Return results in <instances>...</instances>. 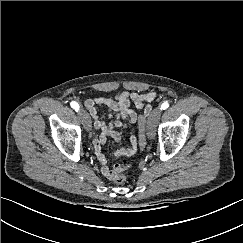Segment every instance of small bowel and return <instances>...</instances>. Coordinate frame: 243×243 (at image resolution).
<instances>
[{"label": "small bowel", "instance_id": "small-bowel-1", "mask_svg": "<svg viewBox=\"0 0 243 243\" xmlns=\"http://www.w3.org/2000/svg\"><path fill=\"white\" fill-rule=\"evenodd\" d=\"M156 98L155 92H128L121 91L114 97H96L87 99L85 101V107L90 116L94 120V127L99 133L94 137L93 146L97 159L101 163V173L110 181H114L117 175L116 166L113 169L107 166V158L104 153V144L108 137L113 138L116 141H120L122 136L119 132L115 131V128L128 127L136 123L137 113L130 108L131 104L142 111V114L148 116L151 111L150 103ZM97 105H103L107 107V117L111 119L109 123H106V117L100 115L97 111ZM139 146V135L136 137L132 132L129 136V146L119 149L115 152L116 156H131L137 152Z\"/></svg>", "mask_w": 243, "mask_h": 243}]
</instances>
